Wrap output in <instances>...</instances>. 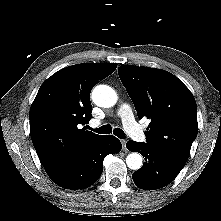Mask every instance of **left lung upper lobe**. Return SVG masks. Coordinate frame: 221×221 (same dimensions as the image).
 Segmentation results:
<instances>
[{"label": "left lung upper lobe", "instance_id": "1", "mask_svg": "<svg viewBox=\"0 0 221 221\" xmlns=\"http://www.w3.org/2000/svg\"><path fill=\"white\" fill-rule=\"evenodd\" d=\"M118 74L138 117L151 120L145 131L147 144L184 166L198 133L197 106L190 90L161 69L123 65Z\"/></svg>", "mask_w": 221, "mask_h": 221}]
</instances>
